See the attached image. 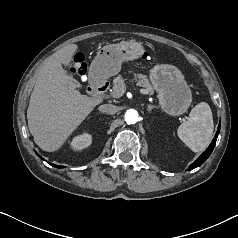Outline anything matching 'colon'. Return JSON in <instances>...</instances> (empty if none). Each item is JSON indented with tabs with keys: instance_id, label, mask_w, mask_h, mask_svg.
<instances>
[{
	"instance_id": "colon-1",
	"label": "colon",
	"mask_w": 238,
	"mask_h": 238,
	"mask_svg": "<svg viewBox=\"0 0 238 238\" xmlns=\"http://www.w3.org/2000/svg\"><path fill=\"white\" fill-rule=\"evenodd\" d=\"M148 54H144L143 58L147 59L148 58ZM73 71L74 73L78 76V77H82L85 75L86 73V65L82 59V57L80 56H76L74 61H73Z\"/></svg>"
}]
</instances>
